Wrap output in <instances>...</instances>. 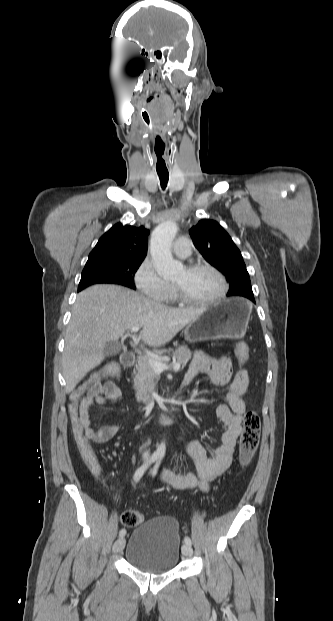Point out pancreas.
Returning a JSON list of instances; mask_svg holds the SVG:
<instances>
[{
    "label": "pancreas",
    "instance_id": "obj_1",
    "mask_svg": "<svg viewBox=\"0 0 333 621\" xmlns=\"http://www.w3.org/2000/svg\"><path fill=\"white\" fill-rule=\"evenodd\" d=\"M192 357L191 350L186 346H180L173 351V359L175 363L186 364ZM149 359L163 362L162 352H157L156 356H145L138 360L136 366L137 373L134 372L133 387L136 391V399L138 402L147 403L150 400V394L155 379V370L151 366Z\"/></svg>",
    "mask_w": 333,
    "mask_h": 621
}]
</instances>
